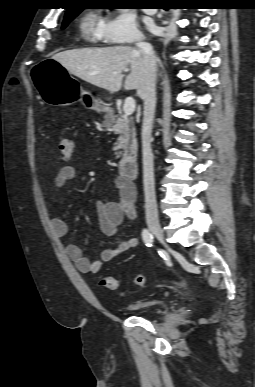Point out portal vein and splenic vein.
<instances>
[{
  "label": "portal vein and splenic vein",
  "mask_w": 255,
  "mask_h": 387,
  "mask_svg": "<svg viewBox=\"0 0 255 387\" xmlns=\"http://www.w3.org/2000/svg\"><path fill=\"white\" fill-rule=\"evenodd\" d=\"M135 107V100L132 97L126 98L123 105V112L125 117L132 115L135 111Z\"/></svg>",
  "instance_id": "18ae733b"
}]
</instances>
